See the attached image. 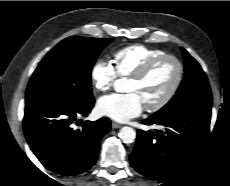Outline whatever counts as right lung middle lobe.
<instances>
[{
  "label": "right lung middle lobe",
  "mask_w": 230,
  "mask_h": 186,
  "mask_svg": "<svg viewBox=\"0 0 230 186\" xmlns=\"http://www.w3.org/2000/svg\"><path fill=\"white\" fill-rule=\"evenodd\" d=\"M112 39L71 36L57 44L39 63L26 91V104L46 99L78 103L93 99L91 70Z\"/></svg>",
  "instance_id": "obj_1"
}]
</instances>
